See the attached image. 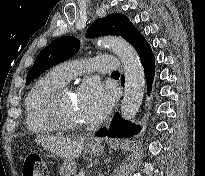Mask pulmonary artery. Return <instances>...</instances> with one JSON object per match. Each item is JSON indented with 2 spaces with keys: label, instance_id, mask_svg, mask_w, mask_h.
<instances>
[{
  "label": "pulmonary artery",
  "instance_id": "e3ab8cb5",
  "mask_svg": "<svg viewBox=\"0 0 205 176\" xmlns=\"http://www.w3.org/2000/svg\"><path fill=\"white\" fill-rule=\"evenodd\" d=\"M121 69V59L115 55L97 56L92 63L80 61H67L56 65L52 72L63 82H67L77 75L85 72L106 74Z\"/></svg>",
  "mask_w": 205,
  "mask_h": 176
}]
</instances>
